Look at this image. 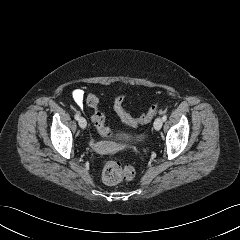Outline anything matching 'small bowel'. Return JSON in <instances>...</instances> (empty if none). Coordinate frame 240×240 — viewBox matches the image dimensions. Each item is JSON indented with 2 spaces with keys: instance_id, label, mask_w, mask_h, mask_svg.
Here are the masks:
<instances>
[{
  "instance_id": "obj_1",
  "label": "small bowel",
  "mask_w": 240,
  "mask_h": 240,
  "mask_svg": "<svg viewBox=\"0 0 240 240\" xmlns=\"http://www.w3.org/2000/svg\"><path fill=\"white\" fill-rule=\"evenodd\" d=\"M72 96H73L74 102L78 106L83 105L84 99H85V94H84L83 90H81V89L74 90L72 93ZM93 146L98 151H107V150L111 149V146L109 144H104V143H93Z\"/></svg>"
}]
</instances>
